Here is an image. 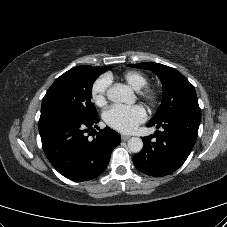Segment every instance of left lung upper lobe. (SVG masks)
I'll return each mask as SVG.
<instances>
[{"label":"left lung upper lobe","instance_id":"5c2ea615","mask_svg":"<svg viewBox=\"0 0 227 227\" xmlns=\"http://www.w3.org/2000/svg\"><path fill=\"white\" fill-rule=\"evenodd\" d=\"M128 66L150 69L162 82V103L150 122L155 123L183 112L200 113L193 85L176 69L151 62Z\"/></svg>","mask_w":227,"mask_h":227}]
</instances>
